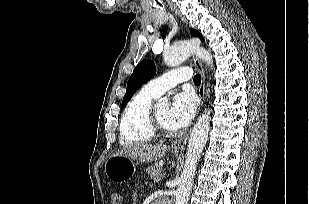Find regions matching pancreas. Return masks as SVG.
Segmentation results:
<instances>
[{"label":"pancreas","instance_id":"obj_1","mask_svg":"<svg viewBox=\"0 0 309 204\" xmlns=\"http://www.w3.org/2000/svg\"><path fill=\"white\" fill-rule=\"evenodd\" d=\"M146 173L151 177V179L158 181L161 179V168L158 164L148 166L146 168Z\"/></svg>","mask_w":309,"mask_h":204}]
</instances>
